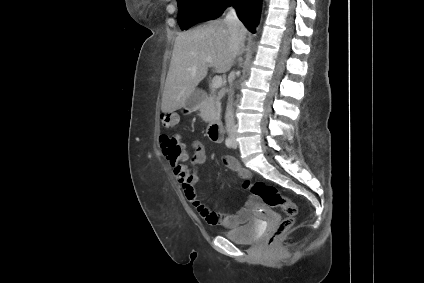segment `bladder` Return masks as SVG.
Returning a JSON list of instances; mask_svg holds the SVG:
<instances>
[{
  "mask_svg": "<svg viewBox=\"0 0 424 283\" xmlns=\"http://www.w3.org/2000/svg\"><path fill=\"white\" fill-rule=\"evenodd\" d=\"M259 233V222L255 219H252L245 225L227 232L226 238L236 244H250L258 238Z\"/></svg>",
  "mask_w": 424,
  "mask_h": 283,
  "instance_id": "1",
  "label": "bladder"
}]
</instances>
